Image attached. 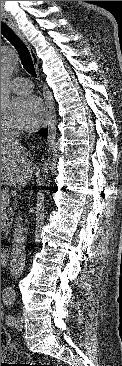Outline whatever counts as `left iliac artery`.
Instances as JSON below:
<instances>
[{
    "label": "left iliac artery",
    "instance_id": "1",
    "mask_svg": "<svg viewBox=\"0 0 122 366\" xmlns=\"http://www.w3.org/2000/svg\"><path fill=\"white\" fill-rule=\"evenodd\" d=\"M14 302V299L13 298H5V301L4 303L7 305V306H11ZM14 322H15V317L12 316V315H7L6 316V323L10 326L14 325Z\"/></svg>",
    "mask_w": 122,
    "mask_h": 366
}]
</instances>
